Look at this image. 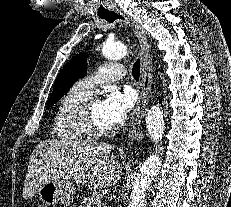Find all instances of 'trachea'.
Returning <instances> with one entry per match:
<instances>
[{"label": "trachea", "mask_w": 231, "mask_h": 207, "mask_svg": "<svg viewBox=\"0 0 231 207\" xmlns=\"http://www.w3.org/2000/svg\"><path fill=\"white\" fill-rule=\"evenodd\" d=\"M100 18L105 19L109 23H112L116 19H123L121 16H119L118 14L114 12L102 15L100 16ZM140 69H141L140 59H137L136 62L133 64V68H132V75L135 80H139Z\"/></svg>", "instance_id": "obj_1"}]
</instances>
